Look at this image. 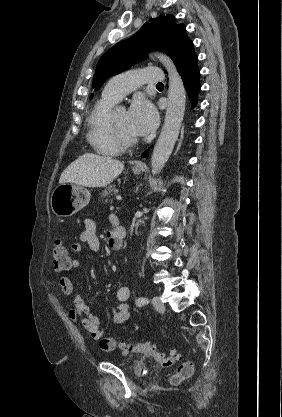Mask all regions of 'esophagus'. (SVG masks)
<instances>
[{
  "mask_svg": "<svg viewBox=\"0 0 282 417\" xmlns=\"http://www.w3.org/2000/svg\"><path fill=\"white\" fill-rule=\"evenodd\" d=\"M136 166H137V167H144L145 165H144V164H142V163H137V164H136Z\"/></svg>",
  "mask_w": 282,
  "mask_h": 417,
  "instance_id": "34e87169",
  "label": "esophagus"
}]
</instances>
